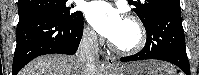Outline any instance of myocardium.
Returning a JSON list of instances; mask_svg holds the SVG:
<instances>
[{
  "instance_id": "myocardium-1",
  "label": "myocardium",
  "mask_w": 199,
  "mask_h": 75,
  "mask_svg": "<svg viewBox=\"0 0 199 75\" xmlns=\"http://www.w3.org/2000/svg\"><path fill=\"white\" fill-rule=\"evenodd\" d=\"M126 21L132 24L137 30V41L131 46H120L111 41V47L123 54H135L141 51L146 44V30L142 24V22L135 16H128Z\"/></svg>"
}]
</instances>
